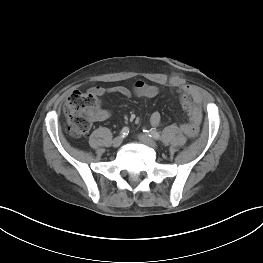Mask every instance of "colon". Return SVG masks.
Instances as JSON below:
<instances>
[{
  "instance_id": "5ec220e1",
  "label": "colon",
  "mask_w": 263,
  "mask_h": 263,
  "mask_svg": "<svg viewBox=\"0 0 263 263\" xmlns=\"http://www.w3.org/2000/svg\"><path fill=\"white\" fill-rule=\"evenodd\" d=\"M182 110L190 117L192 131L193 124V104L184 92L179 95ZM100 95L92 90L73 92L67 99L64 106V113L67 119L68 131L73 137L84 136L90 129L92 120L100 114Z\"/></svg>"
}]
</instances>
